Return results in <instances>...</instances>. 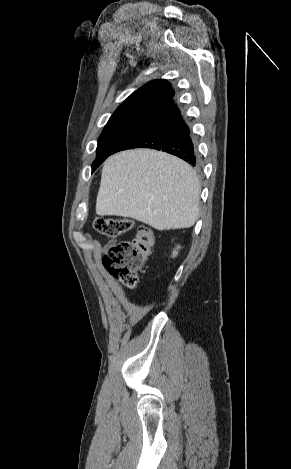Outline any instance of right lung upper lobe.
<instances>
[{"instance_id":"right-lung-upper-lobe-1","label":"right lung upper lobe","mask_w":291,"mask_h":469,"mask_svg":"<svg viewBox=\"0 0 291 469\" xmlns=\"http://www.w3.org/2000/svg\"><path fill=\"white\" fill-rule=\"evenodd\" d=\"M174 90L165 80L151 81L132 93L114 112H141L155 115L174 102Z\"/></svg>"}]
</instances>
